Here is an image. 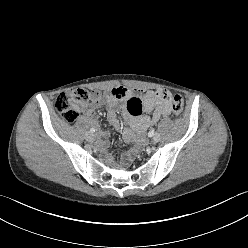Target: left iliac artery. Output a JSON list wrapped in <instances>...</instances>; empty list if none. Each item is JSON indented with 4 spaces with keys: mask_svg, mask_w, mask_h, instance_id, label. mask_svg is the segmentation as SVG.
I'll list each match as a JSON object with an SVG mask.
<instances>
[{
    "mask_svg": "<svg viewBox=\"0 0 248 248\" xmlns=\"http://www.w3.org/2000/svg\"><path fill=\"white\" fill-rule=\"evenodd\" d=\"M154 134H155V129H151V130L149 131V133H148V136H149V137H152V136H154Z\"/></svg>",
    "mask_w": 248,
    "mask_h": 248,
    "instance_id": "1",
    "label": "left iliac artery"
}]
</instances>
